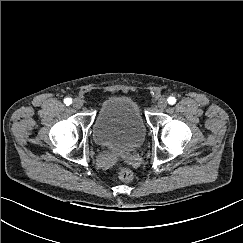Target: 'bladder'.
Instances as JSON below:
<instances>
[{
	"instance_id": "31cf9c89",
	"label": "bladder",
	"mask_w": 243,
	"mask_h": 243,
	"mask_svg": "<svg viewBox=\"0 0 243 243\" xmlns=\"http://www.w3.org/2000/svg\"><path fill=\"white\" fill-rule=\"evenodd\" d=\"M96 144L124 152L139 148L146 135L138 104L130 97L112 96L101 104L92 127Z\"/></svg>"
}]
</instances>
